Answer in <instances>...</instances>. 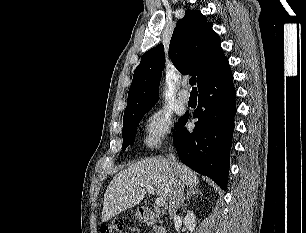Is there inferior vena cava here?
I'll list each match as a JSON object with an SVG mask.
<instances>
[{"label":"inferior vena cava","mask_w":306,"mask_h":233,"mask_svg":"<svg viewBox=\"0 0 306 233\" xmlns=\"http://www.w3.org/2000/svg\"><path fill=\"white\" fill-rule=\"evenodd\" d=\"M168 160L174 166V170L176 171L177 179L174 184V189L169 199V214L170 216L176 214V210L181 202L183 192H184V182L180 176V165L176 161V158L173 154H169Z\"/></svg>","instance_id":"inferior-vena-cava-1"}]
</instances>
